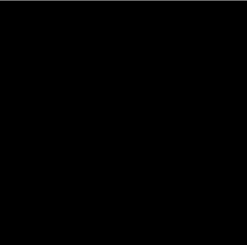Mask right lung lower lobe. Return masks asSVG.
<instances>
[{
    "instance_id": "98d812e1",
    "label": "right lung lower lobe",
    "mask_w": 247,
    "mask_h": 245,
    "mask_svg": "<svg viewBox=\"0 0 247 245\" xmlns=\"http://www.w3.org/2000/svg\"><path fill=\"white\" fill-rule=\"evenodd\" d=\"M43 90L40 85L36 88L18 119L15 137L19 162L44 200L64 206L87 204L98 196L108 170L128 149L125 141L132 128L106 127L92 114L64 127L57 122L32 126L30 114ZM136 94L144 105L142 95ZM110 137L117 144L102 148Z\"/></svg>"
}]
</instances>
